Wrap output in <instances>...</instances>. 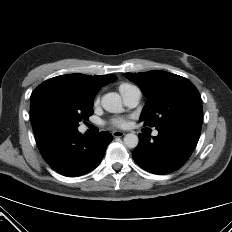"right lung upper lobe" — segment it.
Masks as SVG:
<instances>
[{
    "label": "right lung upper lobe",
    "instance_id": "obj_1",
    "mask_svg": "<svg viewBox=\"0 0 232 232\" xmlns=\"http://www.w3.org/2000/svg\"><path fill=\"white\" fill-rule=\"evenodd\" d=\"M117 77L115 75L88 76L84 74H69L51 78L45 82L67 81L81 85L92 97H95L100 88Z\"/></svg>",
    "mask_w": 232,
    "mask_h": 232
}]
</instances>
